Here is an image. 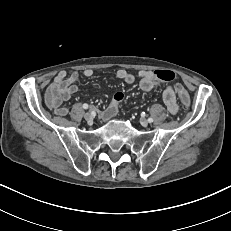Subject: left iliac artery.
I'll return each instance as SVG.
<instances>
[{"instance_id":"44dca946","label":"left iliac artery","mask_w":231,"mask_h":231,"mask_svg":"<svg viewBox=\"0 0 231 231\" xmlns=\"http://www.w3.org/2000/svg\"><path fill=\"white\" fill-rule=\"evenodd\" d=\"M148 122H149V123H152V122H153V118H151V117L148 118Z\"/></svg>"}]
</instances>
